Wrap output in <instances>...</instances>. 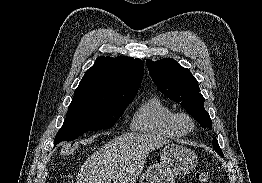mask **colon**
Returning a JSON list of instances; mask_svg holds the SVG:
<instances>
[{"instance_id": "1", "label": "colon", "mask_w": 262, "mask_h": 183, "mask_svg": "<svg viewBox=\"0 0 262 183\" xmlns=\"http://www.w3.org/2000/svg\"><path fill=\"white\" fill-rule=\"evenodd\" d=\"M195 177L199 183H208L211 173L208 170H199L196 172Z\"/></svg>"}]
</instances>
